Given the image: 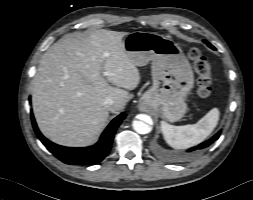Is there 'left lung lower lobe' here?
<instances>
[{
  "mask_svg": "<svg viewBox=\"0 0 253 200\" xmlns=\"http://www.w3.org/2000/svg\"><path fill=\"white\" fill-rule=\"evenodd\" d=\"M219 136H220V132L216 133L209 140L202 142L197 147H193V148L189 149L188 152H193V151L205 149L206 147L210 146L215 140H217L219 138Z\"/></svg>",
  "mask_w": 253,
  "mask_h": 200,
  "instance_id": "1",
  "label": "left lung lower lobe"
}]
</instances>
